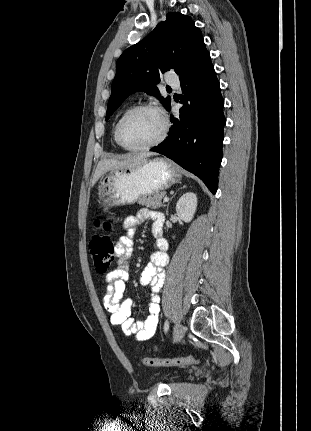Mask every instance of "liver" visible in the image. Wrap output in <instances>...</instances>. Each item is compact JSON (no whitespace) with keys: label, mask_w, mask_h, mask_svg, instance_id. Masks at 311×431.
<instances>
[{"label":"liver","mask_w":311,"mask_h":431,"mask_svg":"<svg viewBox=\"0 0 311 431\" xmlns=\"http://www.w3.org/2000/svg\"><path fill=\"white\" fill-rule=\"evenodd\" d=\"M156 156L153 152H140V154H126L121 156L120 160H100L97 164V168L94 172L92 186L97 184L98 180L107 174V172H115V170H128V168H137L144 162H147L148 158Z\"/></svg>","instance_id":"1"}]
</instances>
